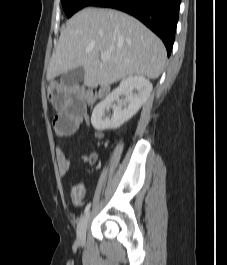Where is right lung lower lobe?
Returning a JSON list of instances; mask_svg holds the SVG:
<instances>
[{
	"mask_svg": "<svg viewBox=\"0 0 227 265\" xmlns=\"http://www.w3.org/2000/svg\"><path fill=\"white\" fill-rule=\"evenodd\" d=\"M181 0H93L88 6L122 10L142 21L164 42L171 53Z\"/></svg>",
	"mask_w": 227,
	"mask_h": 265,
	"instance_id": "obj_1",
	"label": "right lung lower lobe"
}]
</instances>
